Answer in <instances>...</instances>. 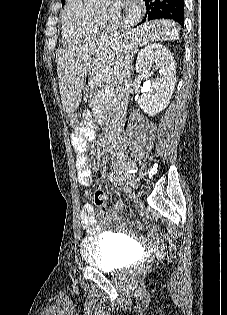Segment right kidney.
I'll return each mask as SVG.
<instances>
[{"mask_svg":"<svg viewBox=\"0 0 227 315\" xmlns=\"http://www.w3.org/2000/svg\"><path fill=\"white\" fill-rule=\"evenodd\" d=\"M153 68L159 74L149 82V93H139L135 100L149 116L163 111L173 95L176 83V65L170 50L159 43H151L138 52L136 72L148 74Z\"/></svg>","mask_w":227,"mask_h":315,"instance_id":"1","label":"right kidney"}]
</instances>
